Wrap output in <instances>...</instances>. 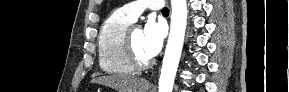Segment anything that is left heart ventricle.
I'll return each mask as SVG.
<instances>
[{
    "instance_id": "1",
    "label": "left heart ventricle",
    "mask_w": 289,
    "mask_h": 92,
    "mask_svg": "<svg viewBox=\"0 0 289 92\" xmlns=\"http://www.w3.org/2000/svg\"><path fill=\"white\" fill-rule=\"evenodd\" d=\"M132 42L135 52L141 60L151 59L144 49L143 30L141 28L137 27L132 30Z\"/></svg>"
}]
</instances>
